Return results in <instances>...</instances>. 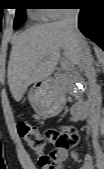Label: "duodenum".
Returning a JSON list of instances; mask_svg holds the SVG:
<instances>
[{
    "label": "duodenum",
    "mask_w": 104,
    "mask_h": 169,
    "mask_svg": "<svg viewBox=\"0 0 104 169\" xmlns=\"http://www.w3.org/2000/svg\"><path fill=\"white\" fill-rule=\"evenodd\" d=\"M87 103L85 101L79 102L72 107L73 115L76 121L81 122L87 116Z\"/></svg>",
    "instance_id": "1"
}]
</instances>
